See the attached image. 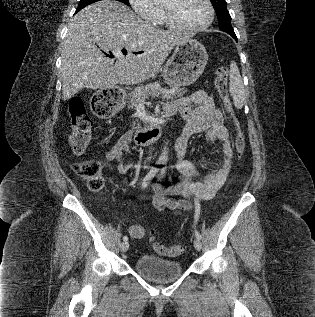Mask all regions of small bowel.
<instances>
[{
  "mask_svg": "<svg viewBox=\"0 0 315 317\" xmlns=\"http://www.w3.org/2000/svg\"><path fill=\"white\" fill-rule=\"evenodd\" d=\"M166 110L179 113L185 126L175 146V168L180 173V181L164 187L153 184L152 207L163 212L166 209L181 213L192 209V200H209L225 183L232 167L233 136L224 124V114L213 98L204 91H196L188 96L169 102ZM204 132L209 146L220 145V157L215 166L206 173L194 162L186 159L188 141L196 133ZM131 133L123 134L105 154V161L116 162L120 173H126L132 164L129 159ZM169 195H182L183 199H172ZM133 239H141L145 229L141 224L129 227Z\"/></svg>",
  "mask_w": 315,
  "mask_h": 317,
  "instance_id": "1",
  "label": "small bowel"
}]
</instances>
